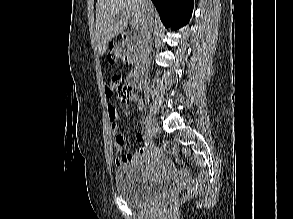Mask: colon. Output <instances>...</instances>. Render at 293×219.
<instances>
[{
    "mask_svg": "<svg viewBox=\"0 0 293 219\" xmlns=\"http://www.w3.org/2000/svg\"><path fill=\"white\" fill-rule=\"evenodd\" d=\"M132 54L125 44L111 46L108 52V60L111 63L129 62ZM116 93L118 99L122 102H127L132 96V90L129 88L125 80L121 76H114L109 84ZM165 149L168 152L174 153L176 148L172 142L165 143ZM207 180V174L202 172L193 181H187L175 189L170 198L171 203L184 201L191 197L198 188Z\"/></svg>",
    "mask_w": 293,
    "mask_h": 219,
    "instance_id": "5ec220e1",
    "label": "colon"
}]
</instances>
